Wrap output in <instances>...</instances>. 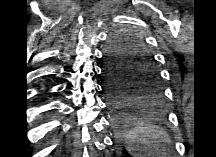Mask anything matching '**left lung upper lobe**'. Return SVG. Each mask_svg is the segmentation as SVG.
<instances>
[{"instance_id":"1","label":"left lung upper lobe","mask_w":216,"mask_h":157,"mask_svg":"<svg viewBox=\"0 0 216 157\" xmlns=\"http://www.w3.org/2000/svg\"><path fill=\"white\" fill-rule=\"evenodd\" d=\"M105 69L109 81L131 90L134 99L161 94L155 60L133 32H118L110 37L105 50Z\"/></svg>"}]
</instances>
